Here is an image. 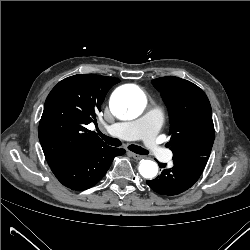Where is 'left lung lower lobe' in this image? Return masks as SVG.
<instances>
[{"label":"left lung lower lobe","mask_w":250,"mask_h":250,"mask_svg":"<svg viewBox=\"0 0 250 250\" xmlns=\"http://www.w3.org/2000/svg\"><path fill=\"white\" fill-rule=\"evenodd\" d=\"M206 157H190L173 160L174 166L166 169V164L159 163L163 168L160 176L146 183L155 192L162 195H177L189 189L200 177L207 163Z\"/></svg>","instance_id":"left-lung-lower-lobe-1"}]
</instances>
